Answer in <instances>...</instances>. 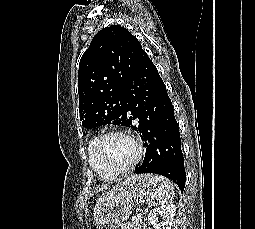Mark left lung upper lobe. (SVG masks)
<instances>
[{"label": "left lung upper lobe", "mask_w": 255, "mask_h": 229, "mask_svg": "<svg viewBox=\"0 0 255 229\" xmlns=\"http://www.w3.org/2000/svg\"><path fill=\"white\" fill-rule=\"evenodd\" d=\"M126 28L112 25L100 30L79 63L78 94L82 125L126 126L124 91L143 53Z\"/></svg>", "instance_id": "obj_1"}]
</instances>
